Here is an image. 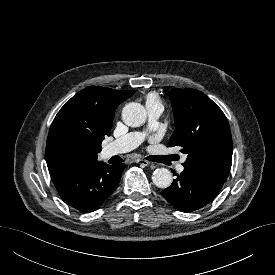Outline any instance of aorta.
<instances>
[{
  "label": "aorta",
  "instance_id": "obj_1",
  "mask_svg": "<svg viewBox=\"0 0 275 275\" xmlns=\"http://www.w3.org/2000/svg\"><path fill=\"white\" fill-rule=\"evenodd\" d=\"M146 118V110L140 103L130 102L122 110V119L130 127L143 125ZM152 181L158 188L165 189L172 183V173L166 168H158L153 172Z\"/></svg>",
  "mask_w": 275,
  "mask_h": 275
}]
</instances>
